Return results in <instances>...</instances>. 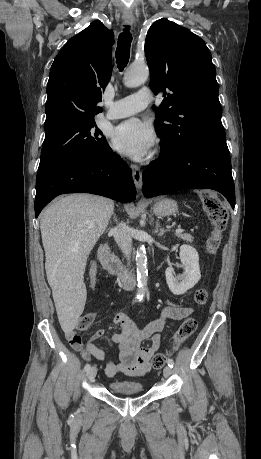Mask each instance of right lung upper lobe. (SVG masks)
Wrapping results in <instances>:
<instances>
[{
	"instance_id": "cb5924a9",
	"label": "right lung upper lobe",
	"mask_w": 261,
	"mask_h": 459,
	"mask_svg": "<svg viewBox=\"0 0 261 459\" xmlns=\"http://www.w3.org/2000/svg\"><path fill=\"white\" fill-rule=\"evenodd\" d=\"M113 33L101 22L72 37L54 59L47 84L44 128L94 120L111 77Z\"/></svg>"
}]
</instances>
